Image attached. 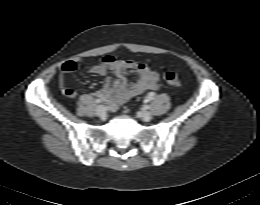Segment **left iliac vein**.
<instances>
[{
	"label": "left iliac vein",
	"instance_id": "4c4485c4",
	"mask_svg": "<svg viewBox=\"0 0 260 205\" xmlns=\"http://www.w3.org/2000/svg\"><path fill=\"white\" fill-rule=\"evenodd\" d=\"M140 117L143 121L149 122L152 119V114L148 111H143L141 112Z\"/></svg>",
	"mask_w": 260,
	"mask_h": 205
}]
</instances>
